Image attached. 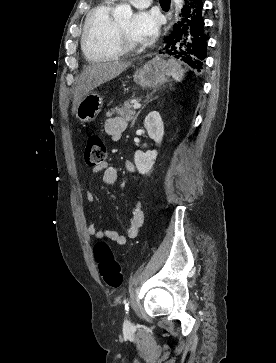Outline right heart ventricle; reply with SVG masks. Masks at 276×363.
I'll return each instance as SVG.
<instances>
[{
	"instance_id": "e07e8e85",
	"label": "right heart ventricle",
	"mask_w": 276,
	"mask_h": 363,
	"mask_svg": "<svg viewBox=\"0 0 276 363\" xmlns=\"http://www.w3.org/2000/svg\"><path fill=\"white\" fill-rule=\"evenodd\" d=\"M115 20L112 16V2L105 0L87 16L81 39L82 50L88 60L111 61L121 52L114 43Z\"/></svg>"
}]
</instances>
